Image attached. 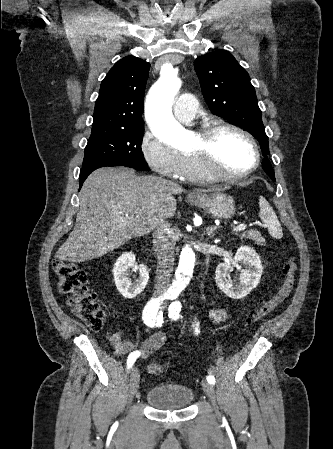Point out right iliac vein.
Instances as JSON below:
<instances>
[{"label":"right iliac vein","mask_w":333,"mask_h":449,"mask_svg":"<svg viewBox=\"0 0 333 449\" xmlns=\"http://www.w3.org/2000/svg\"><path fill=\"white\" fill-rule=\"evenodd\" d=\"M140 374L137 368H133L130 375L128 400L132 401L139 387Z\"/></svg>","instance_id":"right-iliac-vein-1"}]
</instances>
